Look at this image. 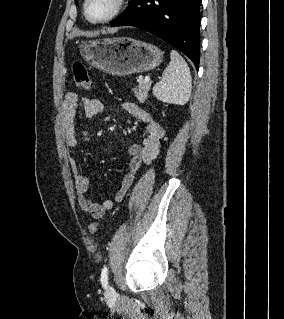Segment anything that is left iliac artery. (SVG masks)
Wrapping results in <instances>:
<instances>
[{
    "label": "left iliac artery",
    "mask_w": 284,
    "mask_h": 319,
    "mask_svg": "<svg viewBox=\"0 0 284 319\" xmlns=\"http://www.w3.org/2000/svg\"><path fill=\"white\" fill-rule=\"evenodd\" d=\"M100 280H101L102 286L104 288H107V284H108V268H107V266H104V268L102 269Z\"/></svg>",
    "instance_id": "left-iliac-artery-1"
}]
</instances>
